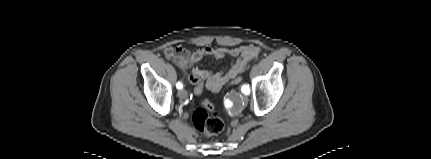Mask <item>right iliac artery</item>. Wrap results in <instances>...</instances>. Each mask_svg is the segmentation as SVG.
<instances>
[{"instance_id": "right-iliac-artery-1", "label": "right iliac artery", "mask_w": 431, "mask_h": 159, "mask_svg": "<svg viewBox=\"0 0 431 159\" xmlns=\"http://www.w3.org/2000/svg\"><path fill=\"white\" fill-rule=\"evenodd\" d=\"M176 87H177L178 89H182V88H183V84H182L181 82H178V83L176 84Z\"/></svg>"}]
</instances>
